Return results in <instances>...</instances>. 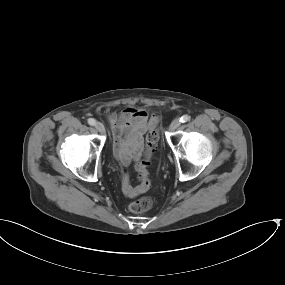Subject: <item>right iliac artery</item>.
Returning a JSON list of instances; mask_svg holds the SVG:
<instances>
[{
	"instance_id": "82829eb1",
	"label": "right iliac artery",
	"mask_w": 285,
	"mask_h": 285,
	"mask_svg": "<svg viewBox=\"0 0 285 285\" xmlns=\"http://www.w3.org/2000/svg\"><path fill=\"white\" fill-rule=\"evenodd\" d=\"M88 123H89V125L94 126L96 124V120L93 118H89Z\"/></svg>"
}]
</instances>
